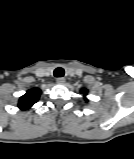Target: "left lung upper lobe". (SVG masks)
Returning a JSON list of instances; mask_svg holds the SVG:
<instances>
[{
	"label": "left lung upper lobe",
	"mask_w": 134,
	"mask_h": 159,
	"mask_svg": "<svg viewBox=\"0 0 134 159\" xmlns=\"http://www.w3.org/2000/svg\"><path fill=\"white\" fill-rule=\"evenodd\" d=\"M82 92L86 95L87 90L86 89H82Z\"/></svg>",
	"instance_id": "1"
}]
</instances>
